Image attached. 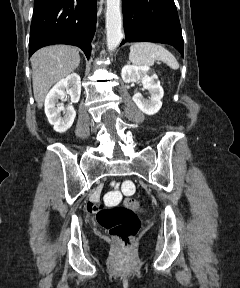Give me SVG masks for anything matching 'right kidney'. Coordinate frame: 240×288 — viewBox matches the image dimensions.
<instances>
[{"label":"right kidney","mask_w":240,"mask_h":288,"mask_svg":"<svg viewBox=\"0 0 240 288\" xmlns=\"http://www.w3.org/2000/svg\"><path fill=\"white\" fill-rule=\"evenodd\" d=\"M71 97V105L66 109L58 104L59 99H63L65 95ZM81 94V79L76 73L68 75L65 79L58 81L49 91L45 98V114L54 130L59 133L67 131L73 124L76 117V111L72 103H77ZM63 112L64 116H61Z\"/></svg>","instance_id":"ca27d5eb"}]
</instances>
